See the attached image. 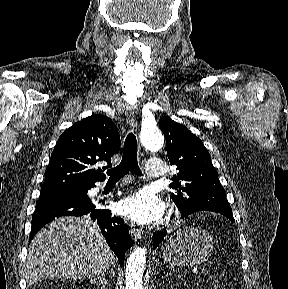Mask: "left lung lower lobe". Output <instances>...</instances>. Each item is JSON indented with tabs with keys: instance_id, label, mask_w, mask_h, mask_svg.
Wrapping results in <instances>:
<instances>
[{
	"instance_id": "left-lung-lower-lobe-1",
	"label": "left lung lower lobe",
	"mask_w": 288,
	"mask_h": 289,
	"mask_svg": "<svg viewBox=\"0 0 288 289\" xmlns=\"http://www.w3.org/2000/svg\"><path fill=\"white\" fill-rule=\"evenodd\" d=\"M182 218H184L185 216L187 215H184V214H181ZM166 236V232H158V233H155L153 235V247L156 248L161 242L162 240L164 239V237Z\"/></svg>"
}]
</instances>
